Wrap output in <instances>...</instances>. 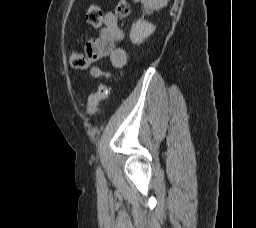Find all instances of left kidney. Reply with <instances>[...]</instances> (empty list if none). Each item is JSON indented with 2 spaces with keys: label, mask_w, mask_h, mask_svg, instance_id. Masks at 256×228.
Instances as JSON below:
<instances>
[{
  "label": "left kidney",
  "mask_w": 256,
  "mask_h": 228,
  "mask_svg": "<svg viewBox=\"0 0 256 228\" xmlns=\"http://www.w3.org/2000/svg\"><path fill=\"white\" fill-rule=\"evenodd\" d=\"M155 31V26L151 23L139 19L136 23H133L130 31V39L134 44L142 43L147 37H149Z\"/></svg>",
  "instance_id": "obj_1"
}]
</instances>
